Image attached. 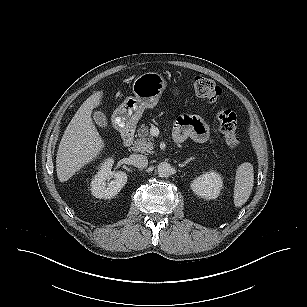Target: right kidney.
I'll return each instance as SVG.
<instances>
[{"instance_id": "ca27d5eb", "label": "right kidney", "mask_w": 307, "mask_h": 307, "mask_svg": "<svg viewBox=\"0 0 307 307\" xmlns=\"http://www.w3.org/2000/svg\"><path fill=\"white\" fill-rule=\"evenodd\" d=\"M114 160L107 158L101 163L100 169L91 181V193L100 199H109L117 195L127 182L125 172L111 171ZM110 179H112L110 181Z\"/></svg>"}]
</instances>
